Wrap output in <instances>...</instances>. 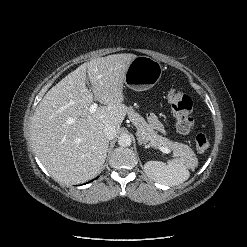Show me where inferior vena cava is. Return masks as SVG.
Returning <instances> with one entry per match:
<instances>
[{
    "mask_svg": "<svg viewBox=\"0 0 247 247\" xmlns=\"http://www.w3.org/2000/svg\"><path fill=\"white\" fill-rule=\"evenodd\" d=\"M103 133H104L105 137L109 140L113 139L117 134L115 127H113L111 125H107L104 128Z\"/></svg>",
    "mask_w": 247,
    "mask_h": 247,
    "instance_id": "1",
    "label": "inferior vena cava"
}]
</instances>
